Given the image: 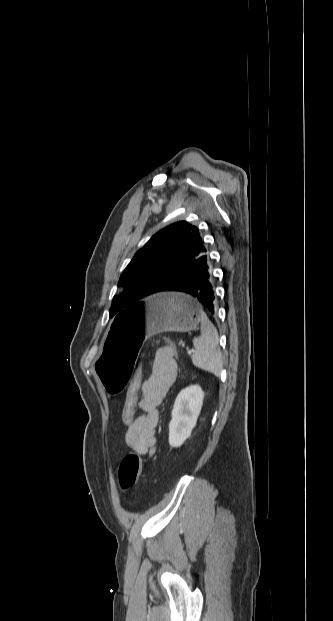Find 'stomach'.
Listing matches in <instances>:
<instances>
[{
	"instance_id": "obj_1",
	"label": "stomach",
	"mask_w": 333,
	"mask_h": 621,
	"mask_svg": "<svg viewBox=\"0 0 333 621\" xmlns=\"http://www.w3.org/2000/svg\"><path fill=\"white\" fill-rule=\"evenodd\" d=\"M204 317L199 304L185 294L160 293L114 317L103 340L97 373L106 395L118 400L132 379L144 339L163 331L188 332Z\"/></svg>"
}]
</instances>
